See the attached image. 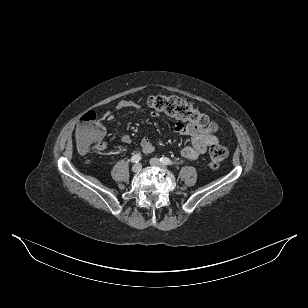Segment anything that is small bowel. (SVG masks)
I'll use <instances>...</instances> for the list:
<instances>
[{"label": "small bowel", "instance_id": "obj_1", "mask_svg": "<svg viewBox=\"0 0 308 308\" xmlns=\"http://www.w3.org/2000/svg\"><path fill=\"white\" fill-rule=\"evenodd\" d=\"M116 109H139V105L134 101L121 100L116 104ZM152 115L156 116L157 114L153 112ZM102 119L112 121L114 119V114L111 111H106L102 115ZM174 131L179 135H188L190 137L191 144L181 150V156L187 160L197 159L203 155L209 147L217 145L219 142L218 138L213 134V132L192 124H183L182 122H177L174 125ZM131 140V136L128 134H125L121 137V142L123 144H129ZM140 146L144 154L148 155L154 151V146L145 136L141 139ZM106 147L107 145L103 141L102 145L98 149L104 150Z\"/></svg>", "mask_w": 308, "mask_h": 308}]
</instances>
